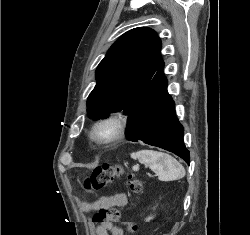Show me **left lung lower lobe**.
<instances>
[{
	"label": "left lung lower lobe",
	"mask_w": 250,
	"mask_h": 235,
	"mask_svg": "<svg viewBox=\"0 0 250 235\" xmlns=\"http://www.w3.org/2000/svg\"><path fill=\"white\" fill-rule=\"evenodd\" d=\"M175 104L167 92L163 67L154 75L128 116V140L170 151L187 164L189 151L183 142V127L175 114Z\"/></svg>",
	"instance_id": "0a47b994"
}]
</instances>
